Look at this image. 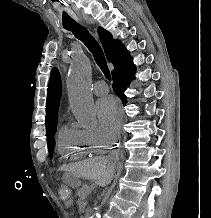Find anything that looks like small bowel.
<instances>
[{"instance_id": "c3829d8e", "label": "small bowel", "mask_w": 211, "mask_h": 218, "mask_svg": "<svg viewBox=\"0 0 211 218\" xmlns=\"http://www.w3.org/2000/svg\"><path fill=\"white\" fill-rule=\"evenodd\" d=\"M65 205L67 207H71L73 205V202L71 200H69V201L65 202Z\"/></svg>"}]
</instances>
